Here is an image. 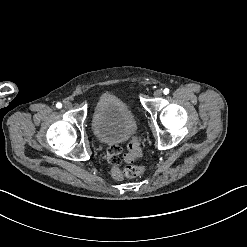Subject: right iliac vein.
Masks as SVG:
<instances>
[{
    "mask_svg": "<svg viewBox=\"0 0 247 247\" xmlns=\"http://www.w3.org/2000/svg\"><path fill=\"white\" fill-rule=\"evenodd\" d=\"M64 107H65L66 109H70V108L72 107V103H71L70 101H66V102L64 103Z\"/></svg>",
    "mask_w": 247,
    "mask_h": 247,
    "instance_id": "1",
    "label": "right iliac vein"
}]
</instances>
